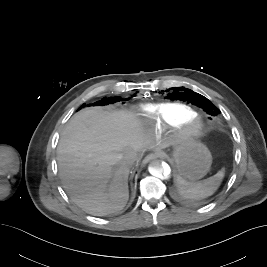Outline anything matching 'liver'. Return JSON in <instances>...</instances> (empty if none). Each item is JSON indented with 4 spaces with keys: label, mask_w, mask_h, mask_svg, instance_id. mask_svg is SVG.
<instances>
[{
    "label": "liver",
    "mask_w": 267,
    "mask_h": 267,
    "mask_svg": "<svg viewBox=\"0 0 267 267\" xmlns=\"http://www.w3.org/2000/svg\"><path fill=\"white\" fill-rule=\"evenodd\" d=\"M167 146L154 144L130 112L83 109L69 120L57 147L63 188L92 215L119 211L129 199L125 155Z\"/></svg>",
    "instance_id": "liver-1"
}]
</instances>
